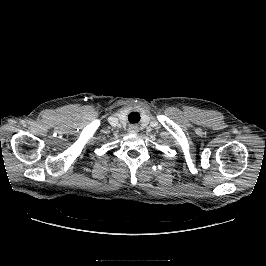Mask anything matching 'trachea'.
Returning <instances> with one entry per match:
<instances>
[{"label": "trachea", "mask_w": 266, "mask_h": 266, "mask_svg": "<svg viewBox=\"0 0 266 266\" xmlns=\"http://www.w3.org/2000/svg\"><path fill=\"white\" fill-rule=\"evenodd\" d=\"M130 123H137L140 120V115L137 112H131L128 116Z\"/></svg>", "instance_id": "1"}]
</instances>
